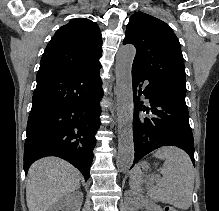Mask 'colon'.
<instances>
[{"label":"colon","mask_w":219,"mask_h":211,"mask_svg":"<svg viewBox=\"0 0 219 211\" xmlns=\"http://www.w3.org/2000/svg\"><path fill=\"white\" fill-rule=\"evenodd\" d=\"M164 211H178V210L173 207H165Z\"/></svg>","instance_id":"colon-1"}]
</instances>
